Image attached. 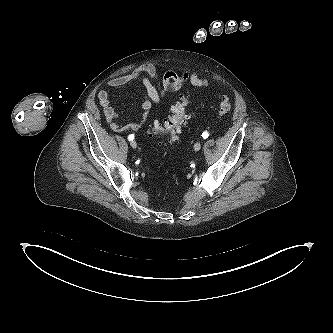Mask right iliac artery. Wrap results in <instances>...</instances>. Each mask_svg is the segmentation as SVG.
I'll use <instances>...</instances> for the list:
<instances>
[{
  "instance_id": "82829eb1",
  "label": "right iliac artery",
  "mask_w": 333,
  "mask_h": 333,
  "mask_svg": "<svg viewBox=\"0 0 333 333\" xmlns=\"http://www.w3.org/2000/svg\"><path fill=\"white\" fill-rule=\"evenodd\" d=\"M133 139H134V134H131V135L128 136L129 141H132Z\"/></svg>"
}]
</instances>
